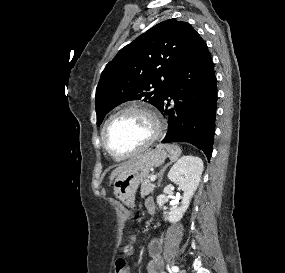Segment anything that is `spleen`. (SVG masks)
Listing matches in <instances>:
<instances>
[{"label":"spleen","mask_w":285,"mask_h":273,"mask_svg":"<svg viewBox=\"0 0 285 273\" xmlns=\"http://www.w3.org/2000/svg\"><path fill=\"white\" fill-rule=\"evenodd\" d=\"M163 147L169 152L171 161L174 162L179 158L181 149L177 145L166 144Z\"/></svg>","instance_id":"spleen-1"}]
</instances>
